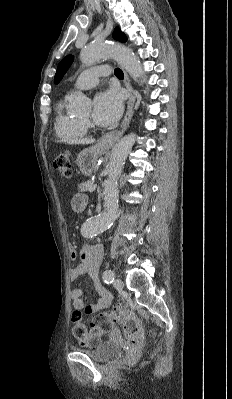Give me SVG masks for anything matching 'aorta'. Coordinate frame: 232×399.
<instances>
[{
    "instance_id": "obj_1",
    "label": "aorta",
    "mask_w": 232,
    "mask_h": 399,
    "mask_svg": "<svg viewBox=\"0 0 232 399\" xmlns=\"http://www.w3.org/2000/svg\"><path fill=\"white\" fill-rule=\"evenodd\" d=\"M112 57L121 65L132 78L143 75V69L138 57L133 51L121 44L94 42L84 47L80 53V60L85 65L95 64L102 59ZM68 101L76 111L84 110L89 100L82 93H72ZM136 135L128 134L121 138L111 151L107 166L108 177L104 181V211L86 220L81 231L84 237L91 238L109 229L116 218L118 210V178L122 172L124 162L135 143Z\"/></svg>"
}]
</instances>
